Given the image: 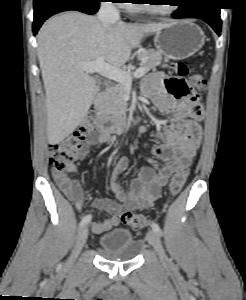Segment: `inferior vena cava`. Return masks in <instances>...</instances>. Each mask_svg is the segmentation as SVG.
<instances>
[{
  "instance_id": "602c4592",
  "label": "inferior vena cava",
  "mask_w": 246,
  "mask_h": 300,
  "mask_svg": "<svg viewBox=\"0 0 246 300\" xmlns=\"http://www.w3.org/2000/svg\"><path fill=\"white\" fill-rule=\"evenodd\" d=\"M97 18L108 30L111 24L119 21L120 15L118 9L112 3L104 2L101 4Z\"/></svg>"
}]
</instances>
